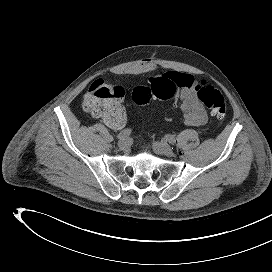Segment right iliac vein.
Returning <instances> with one entry per match:
<instances>
[{"instance_id":"1","label":"right iliac vein","mask_w":272,"mask_h":272,"mask_svg":"<svg viewBox=\"0 0 272 272\" xmlns=\"http://www.w3.org/2000/svg\"><path fill=\"white\" fill-rule=\"evenodd\" d=\"M129 146V140L127 138H121L119 141H118V147L120 149H126L127 147Z\"/></svg>"}]
</instances>
